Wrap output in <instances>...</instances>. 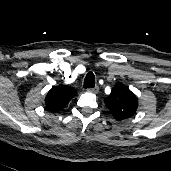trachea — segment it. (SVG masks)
<instances>
[{
  "instance_id": "obj_1",
  "label": "trachea",
  "mask_w": 171,
  "mask_h": 171,
  "mask_svg": "<svg viewBox=\"0 0 171 171\" xmlns=\"http://www.w3.org/2000/svg\"><path fill=\"white\" fill-rule=\"evenodd\" d=\"M84 88L94 87L95 86V75L93 72H88L84 79Z\"/></svg>"
}]
</instances>
